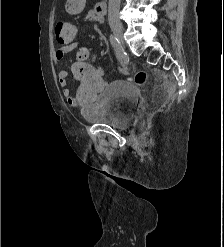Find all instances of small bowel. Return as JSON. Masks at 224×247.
<instances>
[{
    "label": "small bowel",
    "instance_id": "small-bowel-1",
    "mask_svg": "<svg viewBox=\"0 0 224 247\" xmlns=\"http://www.w3.org/2000/svg\"><path fill=\"white\" fill-rule=\"evenodd\" d=\"M85 0H66L65 8L66 11L71 15L79 14L84 7ZM84 19L88 22H99L103 21V17L98 14L95 9L88 10ZM60 42V41H59ZM79 47L78 42L73 40H68L60 42V46L55 51L56 60H61L68 52L77 49ZM59 85L63 88V96L65 97L69 105H75L74 98L72 97L70 90L67 88L68 84V72L62 70L58 73Z\"/></svg>",
    "mask_w": 224,
    "mask_h": 247
}]
</instances>
